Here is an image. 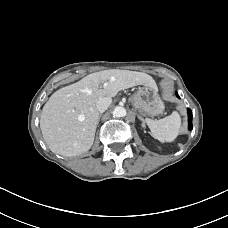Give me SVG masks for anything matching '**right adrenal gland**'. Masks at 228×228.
Here are the masks:
<instances>
[{
  "mask_svg": "<svg viewBox=\"0 0 228 228\" xmlns=\"http://www.w3.org/2000/svg\"><path fill=\"white\" fill-rule=\"evenodd\" d=\"M101 116H102V114L99 115V120H100ZM99 120H98V122H99Z\"/></svg>",
  "mask_w": 228,
  "mask_h": 228,
  "instance_id": "right-adrenal-gland-1",
  "label": "right adrenal gland"
}]
</instances>
